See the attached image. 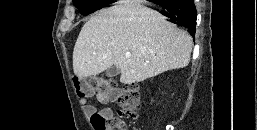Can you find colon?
I'll return each instance as SVG.
<instances>
[{
	"label": "colon",
	"instance_id": "5ec220e1",
	"mask_svg": "<svg viewBox=\"0 0 257 130\" xmlns=\"http://www.w3.org/2000/svg\"><path fill=\"white\" fill-rule=\"evenodd\" d=\"M74 86L81 98L99 93L116 99L120 106L118 116L101 112L93 113L91 124L95 130H129L123 118H135L140 111V91L136 84L126 85L118 90L112 79L75 77Z\"/></svg>",
	"mask_w": 257,
	"mask_h": 130
}]
</instances>
